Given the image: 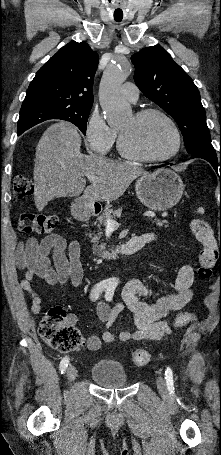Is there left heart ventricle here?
I'll return each instance as SVG.
<instances>
[{
	"mask_svg": "<svg viewBox=\"0 0 221 455\" xmlns=\"http://www.w3.org/2000/svg\"><path fill=\"white\" fill-rule=\"evenodd\" d=\"M118 130L124 135L128 148L143 156H163L174 148L175 139L170 126L157 115L141 120L132 115Z\"/></svg>",
	"mask_w": 221,
	"mask_h": 455,
	"instance_id": "obj_1",
	"label": "left heart ventricle"
}]
</instances>
